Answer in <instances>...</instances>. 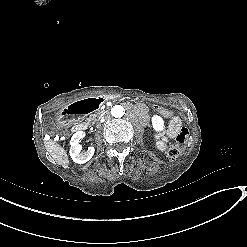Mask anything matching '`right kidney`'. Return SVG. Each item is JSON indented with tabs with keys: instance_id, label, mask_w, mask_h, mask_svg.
Here are the masks:
<instances>
[{
	"instance_id": "1",
	"label": "right kidney",
	"mask_w": 247,
	"mask_h": 247,
	"mask_svg": "<svg viewBox=\"0 0 247 247\" xmlns=\"http://www.w3.org/2000/svg\"><path fill=\"white\" fill-rule=\"evenodd\" d=\"M85 137L84 131H77L70 140V156L73 162L84 164L88 162L94 155V147H89L87 151H82V146L79 144L81 139Z\"/></svg>"
}]
</instances>
